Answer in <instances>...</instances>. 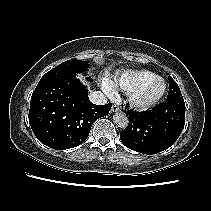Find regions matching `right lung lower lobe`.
Here are the masks:
<instances>
[{
    "label": "right lung lower lobe",
    "instance_id": "98d812e1",
    "mask_svg": "<svg viewBox=\"0 0 211 211\" xmlns=\"http://www.w3.org/2000/svg\"><path fill=\"white\" fill-rule=\"evenodd\" d=\"M111 106L91 103L85 86L75 74H68L38 83L28 118L41 143L65 150L82 144L94 121L106 116Z\"/></svg>",
    "mask_w": 211,
    "mask_h": 211
}]
</instances>
